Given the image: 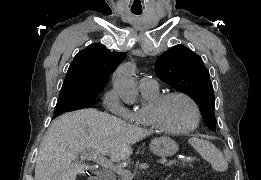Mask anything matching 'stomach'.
Returning <instances> with one entry per match:
<instances>
[{
    "mask_svg": "<svg viewBox=\"0 0 261 180\" xmlns=\"http://www.w3.org/2000/svg\"><path fill=\"white\" fill-rule=\"evenodd\" d=\"M150 150L157 156L169 157L178 151V145L169 137H159L151 141Z\"/></svg>",
    "mask_w": 261,
    "mask_h": 180,
    "instance_id": "1",
    "label": "stomach"
}]
</instances>
